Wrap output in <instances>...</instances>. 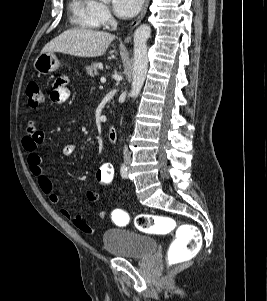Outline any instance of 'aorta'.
Returning <instances> with one entry per match:
<instances>
[{"instance_id":"aorta-1","label":"aorta","mask_w":267,"mask_h":301,"mask_svg":"<svg viewBox=\"0 0 267 301\" xmlns=\"http://www.w3.org/2000/svg\"><path fill=\"white\" fill-rule=\"evenodd\" d=\"M109 2L110 0H101ZM151 28L147 24L139 26L134 33V64L131 96L137 98L145 81L148 70L147 41Z\"/></svg>"}]
</instances>
